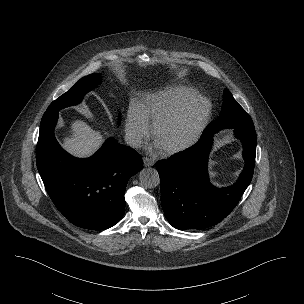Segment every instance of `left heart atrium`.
Here are the masks:
<instances>
[{
	"mask_svg": "<svg viewBox=\"0 0 304 304\" xmlns=\"http://www.w3.org/2000/svg\"><path fill=\"white\" fill-rule=\"evenodd\" d=\"M156 147H160V145L157 143V144H156Z\"/></svg>",
	"mask_w": 304,
	"mask_h": 304,
	"instance_id": "left-heart-atrium-1",
	"label": "left heart atrium"
}]
</instances>
